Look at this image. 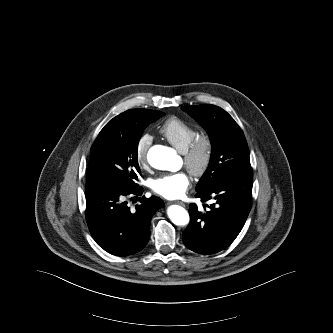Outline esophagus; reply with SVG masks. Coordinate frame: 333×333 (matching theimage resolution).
Segmentation results:
<instances>
[{"label": "esophagus", "mask_w": 333, "mask_h": 333, "mask_svg": "<svg viewBox=\"0 0 333 333\" xmlns=\"http://www.w3.org/2000/svg\"><path fill=\"white\" fill-rule=\"evenodd\" d=\"M174 203H175V204H178V205H180V206H185V204H184L182 201H175Z\"/></svg>", "instance_id": "esophagus-1"}]
</instances>
